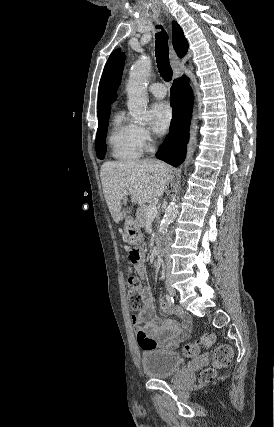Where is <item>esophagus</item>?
<instances>
[{
  "instance_id": "obj_1",
  "label": "esophagus",
  "mask_w": 274,
  "mask_h": 427,
  "mask_svg": "<svg viewBox=\"0 0 274 427\" xmlns=\"http://www.w3.org/2000/svg\"><path fill=\"white\" fill-rule=\"evenodd\" d=\"M170 59H171V65L174 71V77L175 78L180 77L182 75V70L178 67L179 59L172 47L170 49Z\"/></svg>"
}]
</instances>
